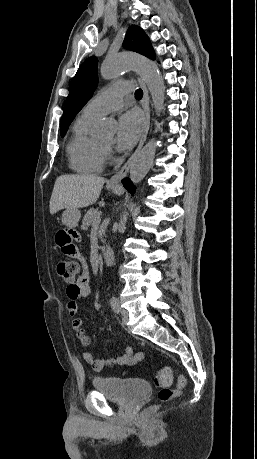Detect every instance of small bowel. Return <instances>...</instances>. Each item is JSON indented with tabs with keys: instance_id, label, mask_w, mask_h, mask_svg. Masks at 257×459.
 I'll return each instance as SVG.
<instances>
[{
	"instance_id": "1",
	"label": "small bowel",
	"mask_w": 257,
	"mask_h": 459,
	"mask_svg": "<svg viewBox=\"0 0 257 459\" xmlns=\"http://www.w3.org/2000/svg\"><path fill=\"white\" fill-rule=\"evenodd\" d=\"M81 234L79 227H73L69 230L68 224L62 225V230H57L55 236V243L59 244L61 255L65 256V260L68 264H82V274L66 288V313L72 318L71 325L76 333L77 339L81 345L85 348L92 342L91 337L86 333L83 322L81 319L76 317L78 311V302L82 299H87L90 295L89 280L87 275V255L84 249H81V245L85 241V238ZM82 357L85 362L90 365L96 371H102L112 366H130L133 365L143 358L141 351L135 352L132 347H125L123 354L111 357L106 360H100L95 358L89 351L84 350Z\"/></svg>"
}]
</instances>
